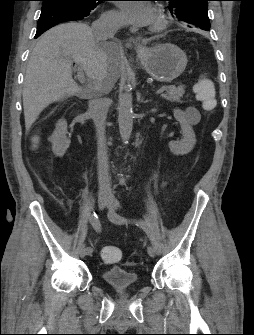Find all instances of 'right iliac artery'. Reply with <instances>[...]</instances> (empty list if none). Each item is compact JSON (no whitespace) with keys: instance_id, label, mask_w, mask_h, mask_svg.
<instances>
[{"instance_id":"obj_1","label":"right iliac artery","mask_w":254,"mask_h":335,"mask_svg":"<svg viewBox=\"0 0 254 335\" xmlns=\"http://www.w3.org/2000/svg\"><path fill=\"white\" fill-rule=\"evenodd\" d=\"M89 221L96 232H101V223L95 212L89 215ZM86 251H87V255L92 256L94 250L92 247H87Z\"/></svg>"}]
</instances>
